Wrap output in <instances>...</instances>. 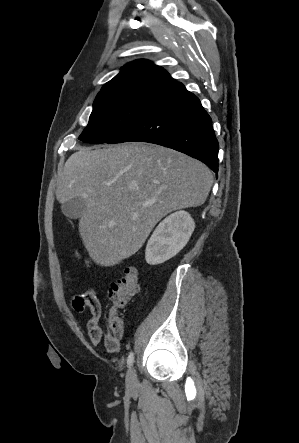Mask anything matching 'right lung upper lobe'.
<instances>
[{"mask_svg":"<svg viewBox=\"0 0 299 443\" xmlns=\"http://www.w3.org/2000/svg\"><path fill=\"white\" fill-rule=\"evenodd\" d=\"M178 83L162 67L148 60H136L126 64L98 93L122 88L157 87L168 89Z\"/></svg>","mask_w":299,"mask_h":443,"instance_id":"obj_1","label":"right lung upper lobe"}]
</instances>
